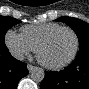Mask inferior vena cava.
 Listing matches in <instances>:
<instances>
[{"label": "inferior vena cava", "mask_w": 89, "mask_h": 89, "mask_svg": "<svg viewBox=\"0 0 89 89\" xmlns=\"http://www.w3.org/2000/svg\"><path fill=\"white\" fill-rule=\"evenodd\" d=\"M14 57L20 61L24 60V55L21 53H17L14 55Z\"/></svg>", "instance_id": "1"}]
</instances>
